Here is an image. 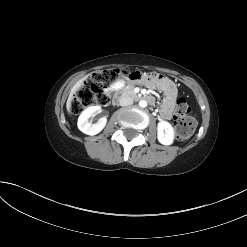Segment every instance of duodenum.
<instances>
[{
    "label": "duodenum",
    "mask_w": 247,
    "mask_h": 247,
    "mask_svg": "<svg viewBox=\"0 0 247 247\" xmlns=\"http://www.w3.org/2000/svg\"><path fill=\"white\" fill-rule=\"evenodd\" d=\"M127 95L129 97H131V99H134L135 101H138V99H140V100H145L150 104L154 103V98L150 95H136V96H134L130 92H127ZM119 97H122V92H115L114 100H112L113 107H118Z\"/></svg>",
    "instance_id": "obj_1"
}]
</instances>
